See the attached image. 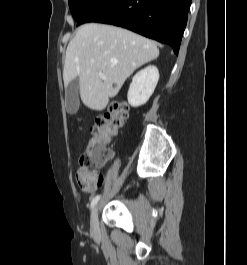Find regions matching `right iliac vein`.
Instances as JSON below:
<instances>
[{"label": "right iliac vein", "instance_id": "obj_1", "mask_svg": "<svg viewBox=\"0 0 247 265\" xmlns=\"http://www.w3.org/2000/svg\"><path fill=\"white\" fill-rule=\"evenodd\" d=\"M99 232V223H98V206H95L91 213V233L97 235Z\"/></svg>", "mask_w": 247, "mask_h": 265}]
</instances>
